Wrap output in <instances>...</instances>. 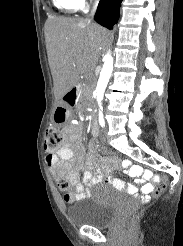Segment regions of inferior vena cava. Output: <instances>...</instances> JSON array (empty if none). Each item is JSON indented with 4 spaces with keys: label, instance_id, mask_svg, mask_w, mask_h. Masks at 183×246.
Masks as SVG:
<instances>
[{
    "label": "inferior vena cava",
    "instance_id": "inferior-vena-cava-1",
    "mask_svg": "<svg viewBox=\"0 0 183 246\" xmlns=\"http://www.w3.org/2000/svg\"><path fill=\"white\" fill-rule=\"evenodd\" d=\"M97 6H98V0H96V2L94 3L93 7H92V10L89 14V17H91V19L94 17L95 15V12H96V9H97Z\"/></svg>",
    "mask_w": 183,
    "mask_h": 246
}]
</instances>
